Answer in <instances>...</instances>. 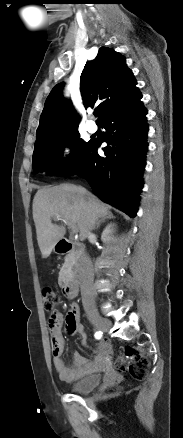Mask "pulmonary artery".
Instances as JSON below:
<instances>
[{
	"mask_svg": "<svg viewBox=\"0 0 183 438\" xmlns=\"http://www.w3.org/2000/svg\"><path fill=\"white\" fill-rule=\"evenodd\" d=\"M86 129L90 133H94V132L97 131V125L93 121H88L87 124H86Z\"/></svg>",
	"mask_w": 183,
	"mask_h": 438,
	"instance_id": "pulmonary-artery-1",
	"label": "pulmonary artery"
}]
</instances>
